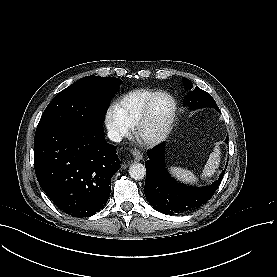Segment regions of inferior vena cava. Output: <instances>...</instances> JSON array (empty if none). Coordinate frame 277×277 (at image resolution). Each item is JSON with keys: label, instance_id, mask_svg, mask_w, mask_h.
<instances>
[{"label": "inferior vena cava", "instance_id": "obj_1", "mask_svg": "<svg viewBox=\"0 0 277 277\" xmlns=\"http://www.w3.org/2000/svg\"><path fill=\"white\" fill-rule=\"evenodd\" d=\"M108 138L111 140V141H113V142H121V140H122V136H121V134L117 131V130H115V129H110L109 131H108Z\"/></svg>", "mask_w": 277, "mask_h": 277}]
</instances>
